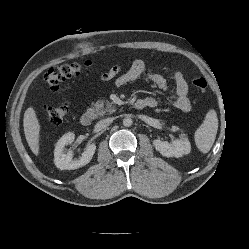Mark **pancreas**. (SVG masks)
Listing matches in <instances>:
<instances>
[{"label":"pancreas","instance_id":"obj_1","mask_svg":"<svg viewBox=\"0 0 249 249\" xmlns=\"http://www.w3.org/2000/svg\"><path fill=\"white\" fill-rule=\"evenodd\" d=\"M116 109L114 107V103L99 100L95 104H93L91 108V115L96 118L98 116H104L106 114H112Z\"/></svg>","mask_w":249,"mask_h":249}]
</instances>
